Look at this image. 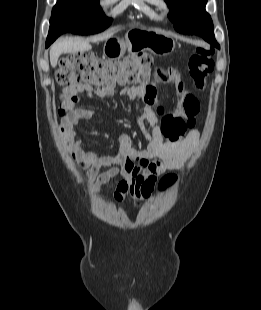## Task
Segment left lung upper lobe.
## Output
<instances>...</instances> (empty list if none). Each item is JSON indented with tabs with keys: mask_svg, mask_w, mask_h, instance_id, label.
Wrapping results in <instances>:
<instances>
[{
	"mask_svg": "<svg viewBox=\"0 0 261 310\" xmlns=\"http://www.w3.org/2000/svg\"><path fill=\"white\" fill-rule=\"evenodd\" d=\"M171 12L169 18L174 28L184 34H195L201 23H211L205 11L207 0H165Z\"/></svg>",
	"mask_w": 261,
	"mask_h": 310,
	"instance_id": "obj_1",
	"label": "left lung upper lobe"
}]
</instances>
